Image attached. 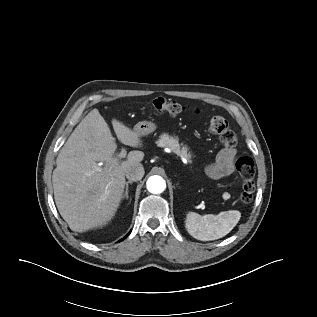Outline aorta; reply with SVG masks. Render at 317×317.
<instances>
[{
    "label": "aorta",
    "instance_id": "obj_1",
    "mask_svg": "<svg viewBox=\"0 0 317 317\" xmlns=\"http://www.w3.org/2000/svg\"><path fill=\"white\" fill-rule=\"evenodd\" d=\"M147 190L153 194H160L166 188L165 180L159 175H153L146 182Z\"/></svg>",
    "mask_w": 317,
    "mask_h": 317
}]
</instances>
